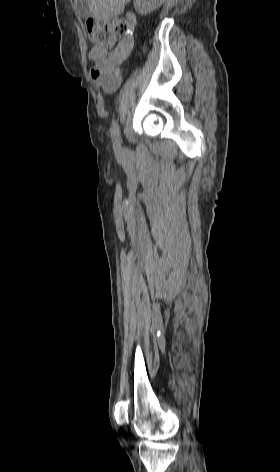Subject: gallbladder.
<instances>
[{
	"mask_svg": "<svg viewBox=\"0 0 280 472\" xmlns=\"http://www.w3.org/2000/svg\"><path fill=\"white\" fill-rule=\"evenodd\" d=\"M77 5L78 13L83 18H88L90 16L89 6L87 0H75Z\"/></svg>",
	"mask_w": 280,
	"mask_h": 472,
	"instance_id": "bac80fb5",
	"label": "gallbladder"
}]
</instances>
